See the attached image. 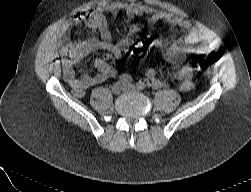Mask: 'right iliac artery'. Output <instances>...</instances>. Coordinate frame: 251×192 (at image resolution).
Here are the masks:
<instances>
[{
    "mask_svg": "<svg viewBox=\"0 0 251 192\" xmlns=\"http://www.w3.org/2000/svg\"><path fill=\"white\" fill-rule=\"evenodd\" d=\"M119 80L123 83V84H130L132 82V77L128 74H122L119 76Z\"/></svg>",
    "mask_w": 251,
    "mask_h": 192,
    "instance_id": "1",
    "label": "right iliac artery"
}]
</instances>
